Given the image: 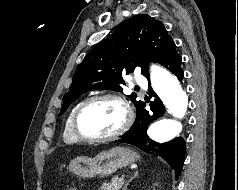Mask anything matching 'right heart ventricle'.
I'll use <instances>...</instances> for the list:
<instances>
[{
	"instance_id": "right-heart-ventricle-1",
	"label": "right heart ventricle",
	"mask_w": 238,
	"mask_h": 190,
	"mask_svg": "<svg viewBox=\"0 0 238 190\" xmlns=\"http://www.w3.org/2000/svg\"><path fill=\"white\" fill-rule=\"evenodd\" d=\"M81 104V102L77 103L70 111L66 123H65V127H64V131H63V139L65 142L68 143H74L77 142L79 140V138L76 136V134L74 133L73 130V125H72V121H73V116L74 113L77 109V107Z\"/></svg>"
}]
</instances>
